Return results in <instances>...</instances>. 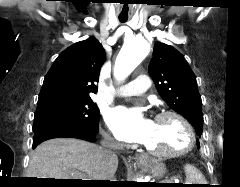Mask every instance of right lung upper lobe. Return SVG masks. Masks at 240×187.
<instances>
[{
	"label": "right lung upper lobe",
	"mask_w": 240,
	"mask_h": 187,
	"mask_svg": "<svg viewBox=\"0 0 240 187\" xmlns=\"http://www.w3.org/2000/svg\"><path fill=\"white\" fill-rule=\"evenodd\" d=\"M105 51L94 37L61 52L45 76L38 105L65 99H87L97 92Z\"/></svg>",
	"instance_id": "1"
}]
</instances>
